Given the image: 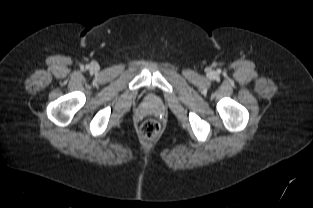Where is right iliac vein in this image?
Instances as JSON below:
<instances>
[{
    "instance_id": "right-iliac-vein-1",
    "label": "right iliac vein",
    "mask_w": 313,
    "mask_h": 208,
    "mask_svg": "<svg viewBox=\"0 0 313 208\" xmlns=\"http://www.w3.org/2000/svg\"><path fill=\"white\" fill-rule=\"evenodd\" d=\"M97 65L96 64H92L91 65V69H96Z\"/></svg>"
}]
</instances>
